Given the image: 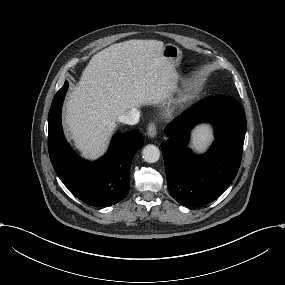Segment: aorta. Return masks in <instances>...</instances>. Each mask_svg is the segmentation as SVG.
<instances>
[{
	"mask_svg": "<svg viewBox=\"0 0 285 285\" xmlns=\"http://www.w3.org/2000/svg\"><path fill=\"white\" fill-rule=\"evenodd\" d=\"M143 158L148 163H155L160 158V150L157 146L149 144L142 151Z\"/></svg>",
	"mask_w": 285,
	"mask_h": 285,
	"instance_id": "762f6f07",
	"label": "aorta"
}]
</instances>
